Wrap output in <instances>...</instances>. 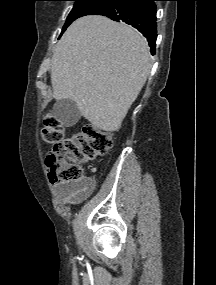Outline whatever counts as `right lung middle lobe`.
<instances>
[{"mask_svg":"<svg viewBox=\"0 0 216 285\" xmlns=\"http://www.w3.org/2000/svg\"><path fill=\"white\" fill-rule=\"evenodd\" d=\"M75 4L69 13L65 25L63 26L61 34L66 30V28L77 18L94 15L102 9L112 5L117 0H72Z\"/></svg>","mask_w":216,"mask_h":285,"instance_id":"right-lung-middle-lobe-1","label":"right lung middle lobe"}]
</instances>
